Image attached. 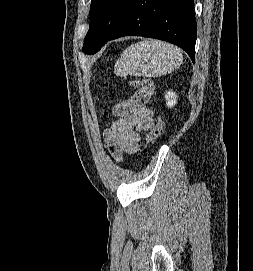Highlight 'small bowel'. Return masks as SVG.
Instances as JSON below:
<instances>
[{
    "label": "small bowel",
    "instance_id": "1",
    "mask_svg": "<svg viewBox=\"0 0 253 271\" xmlns=\"http://www.w3.org/2000/svg\"><path fill=\"white\" fill-rule=\"evenodd\" d=\"M150 93L138 90L129 99L115 105V116L103 136L116 162L122 153L134 154L139 150L142 134L154 127L153 111L147 106Z\"/></svg>",
    "mask_w": 253,
    "mask_h": 271
}]
</instances>
